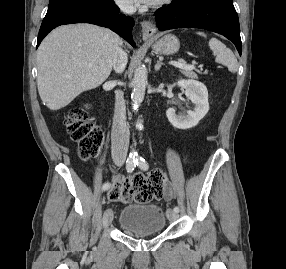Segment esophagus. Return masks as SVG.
Returning a JSON list of instances; mask_svg holds the SVG:
<instances>
[{"label": "esophagus", "instance_id": "34e87169", "mask_svg": "<svg viewBox=\"0 0 286 269\" xmlns=\"http://www.w3.org/2000/svg\"><path fill=\"white\" fill-rule=\"evenodd\" d=\"M142 37L143 39H149L156 33V26L151 21L143 20L141 22Z\"/></svg>", "mask_w": 286, "mask_h": 269}]
</instances>
